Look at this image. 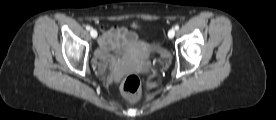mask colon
I'll return each mask as SVG.
<instances>
[{
    "label": "colon",
    "mask_w": 276,
    "mask_h": 120,
    "mask_svg": "<svg viewBox=\"0 0 276 120\" xmlns=\"http://www.w3.org/2000/svg\"><path fill=\"white\" fill-rule=\"evenodd\" d=\"M121 90L132 102L141 100L140 80L136 75L131 74L125 77L121 84Z\"/></svg>",
    "instance_id": "obj_1"
}]
</instances>
